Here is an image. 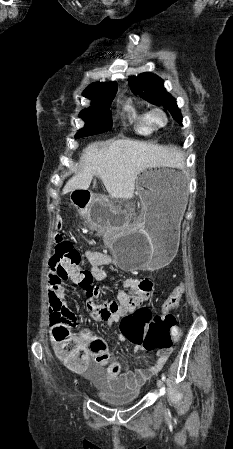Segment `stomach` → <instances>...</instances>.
<instances>
[{
    "label": "stomach",
    "mask_w": 233,
    "mask_h": 449,
    "mask_svg": "<svg viewBox=\"0 0 233 449\" xmlns=\"http://www.w3.org/2000/svg\"><path fill=\"white\" fill-rule=\"evenodd\" d=\"M185 188L181 171H142L136 179V194L144 207L142 223L134 222L136 212H120L131 210V201L94 198L92 206L77 207L92 227L111 232L106 245L122 270L154 271L168 265L176 255Z\"/></svg>",
    "instance_id": "0dacf381"
}]
</instances>
